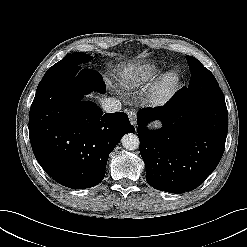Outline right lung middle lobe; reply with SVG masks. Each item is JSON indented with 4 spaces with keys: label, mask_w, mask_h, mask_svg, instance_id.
<instances>
[{
    "label": "right lung middle lobe",
    "mask_w": 247,
    "mask_h": 247,
    "mask_svg": "<svg viewBox=\"0 0 247 247\" xmlns=\"http://www.w3.org/2000/svg\"><path fill=\"white\" fill-rule=\"evenodd\" d=\"M89 60H91V57L84 53L75 52L68 54L61 61L50 67L46 73H51L67 68H75L76 66H81L82 64L87 63Z\"/></svg>",
    "instance_id": "1"
}]
</instances>
